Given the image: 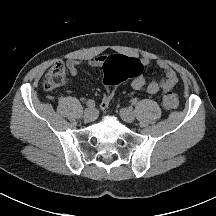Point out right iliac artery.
<instances>
[{"instance_id":"right-iliac-artery-1","label":"right iliac artery","mask_w":216,"mask_h":216,"mask_svg":"<svg viewBox=\"0 0 216 216\" xmlns=\"http://www.w3.org/2000/svg\"><path fill=\"white\" fill-rule=\"evenodd\" d=\"M86 105L90 108H93V107H95V102L93 100H88Z\"/></svg>"}]
</instances>
